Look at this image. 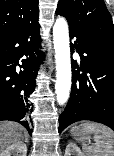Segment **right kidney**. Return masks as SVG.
<instances>
[{"label":"right kidney","instance_id":"right-kidney-1","mask_svg":"<svg viewBox=\"0 0 114 156\" xmlns=\"http://www.w3.org/2000/svg\"><path fill=\"white\" fill-rule=\"evenodd\" d=\"M27 146L22 141H17L8 146L4 151L0 153V156H26Z\"/></svg>","mask_w":114,"mask_h":156}]
</instances>
